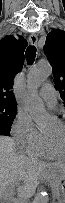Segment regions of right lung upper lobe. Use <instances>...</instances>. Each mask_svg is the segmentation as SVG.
<instances>
[{"label":"right lung upper lobe","instance_id":"1","mask_svg":"<svg viewBox=\"0 0 65 203\" xmlns=\"http://www.w3.org/2000/svg\"><path fill=\"white\" fill-rule=\"evenodd\" d=\"M25 39L5 37L0 41V102L16 104L13 91L14 76L20 72L24 63Z\"/></svg>","mask_w":65,"mask_h":203}]
</instances>
